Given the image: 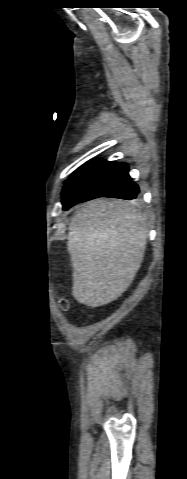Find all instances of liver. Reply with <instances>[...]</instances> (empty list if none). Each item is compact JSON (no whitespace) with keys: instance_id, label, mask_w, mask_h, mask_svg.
Here are the masks:
<instances>
[{"instance_id":"1","label":"liver","mask_w":187,"mask_h":479,"mask_svg":"<svg viewBox=\"0 0 187 479\" xmlns=\"http://www.w3.org/2000/svg\"><path fill=\"white\" fill-rule=\"evenodd\" d=\"M147 237L145 218L131 203L97 199L81 205L67 241L74 298L94 308L120 297L141 266Z\"/></svg>"}]
</instances>
